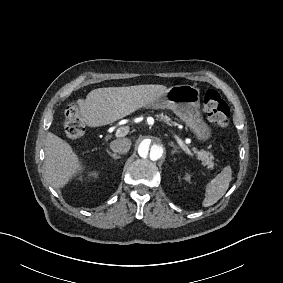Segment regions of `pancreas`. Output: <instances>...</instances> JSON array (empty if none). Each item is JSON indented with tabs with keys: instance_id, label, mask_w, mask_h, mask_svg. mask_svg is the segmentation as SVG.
Here are the masks:
<instances>
[{
	"instance_id": "1",
	"label": "pancreas",
	"mask_w": 283,
	"mask_h": 283,
	"mask_svg": "<svg viewBox=\"0 0 283 283\" xmlns=\"http://www.w3.org/2000/svg\"><path fill=\"white\" fill-rule=\"evenodd\" d=\"M157 119H159L160 122L166 123L167 125H177L176 122H172V119L164 114L157 115ZM197 158L200 160L199 165L207 170L206 174H209V172L212 171L215 166V163L212 161L213 155L210 152L206 153L205 151H201L197 155Z\"/></svg>"
}]
</instances>
